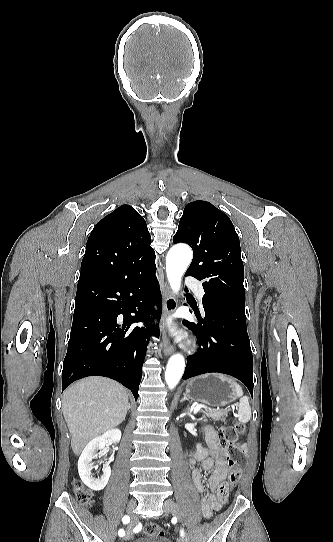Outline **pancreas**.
Wrapping results in <instances>:
<instances>
[{
    "mask_svg": "<svg viewBox=\"0 0 333 542\" xmlns=\"http://www.w3.org/2000/svg\"><path fill=\"white\" fill-rule=\"evenodd\" d=\"M202 414H204L205 418H212V420H215V422H225L227 418L228 412H225V410H221V412H217V410H202Z\"/></svg>",
    "mask_w": 333,
    "mask_h": 542,
    "instance_id": "1",
    "label": "pancreas"
}]
</instances>
